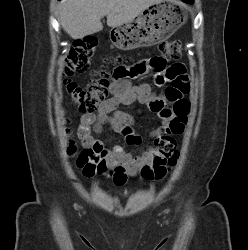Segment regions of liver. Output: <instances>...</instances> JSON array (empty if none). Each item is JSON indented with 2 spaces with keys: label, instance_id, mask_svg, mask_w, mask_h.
I'll use <instances>...</instances> for the list:
<instances>
[{
  "label": "liver",
  "instance_id": "liver-1",
  "mask_svg": "<svg viewBox=\"0 0 248 250\" xmlns=\"http://www.w3.org/2000/svg\"><path fill=\"white\" fill-rule=\"evenodd\" d=\"M163 0H61L59 20L73 39L83 38L103 29L101 18L107 16L109 27L133 21L148 7Z\"/></svg>",
  "mask_w": 248,
  "mask_h": 250
}]
</instances>
